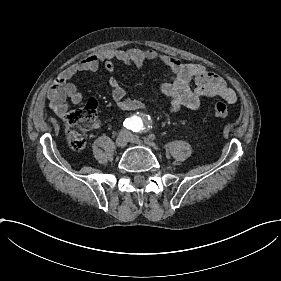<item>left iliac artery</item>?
<instances>
[{"instance_id":"left-iliac-artery-1","label":"left iliac artery","mask_w":281,"mask_h":281,"mask_svg":"<svg viewBox=\"0 0 281 281\" xmlns=\"http://www.w3.org/2000/svg\"><path fill=\"white\" fill-rule=\"evenodd\" d=\"M140 130H142V125L139 122H135L133 125V132H139Z\"/></svg>"}]
</instances>
